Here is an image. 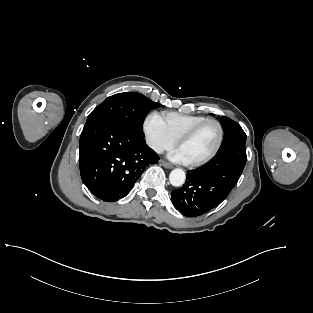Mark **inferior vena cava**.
<instances>
[{
  "instance_id": "inferior-vena-cava-1",
  "label": "inferior vena cava",
  "mask_w": 313,
  "mask_h": 313,
  "mask_svg": "<svg viewBox=\"0 0 313 313\" xmlns=\"http://www.w3.org/2000/svg\"><path fill=\"white\" fill-rule=\"evenodd\" d=\"M153 149L157 152V153H162L163 152V148L159 145H152Z\"/></svg>"
}]
</instances>
